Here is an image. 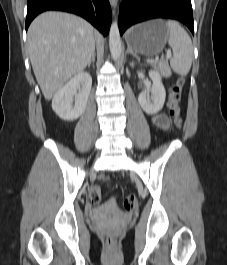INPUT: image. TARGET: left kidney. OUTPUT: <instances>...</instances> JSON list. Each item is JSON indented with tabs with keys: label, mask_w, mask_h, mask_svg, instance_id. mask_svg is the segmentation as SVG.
<instances>
[{
	"label": "left kidney",
	"mask_w": 227,
	"mask_h": 265,
	"mask_svg": "<svg viewBox=\"0 0 227 265\" xmlns=\"http://www.w3.org/2000/svg\"><path fill=\"white\" fill-rule=\"evenodd\" d=\"M130 65L133 67L134 63ZM149 77L153 82L150 89L152 95L150 97L146 90L142 91L138 97V101L147 114L153 115L162 109L166 98V92L161 76L157 71H149Z\"/></svg>",
	"instance_id": "obj_1"
}]
</instances>
